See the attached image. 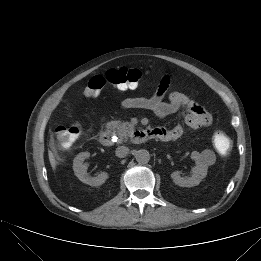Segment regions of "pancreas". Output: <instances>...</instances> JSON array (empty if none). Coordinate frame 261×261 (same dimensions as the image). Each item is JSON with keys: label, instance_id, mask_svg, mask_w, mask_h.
I'll return each instance as SVG.
<instances>
[{"label": "pancreas", "instance_id": "cf45deb5", "mask_svg": "<svg viewBox=\"0 0 261 261\" xmlns=\"http://www.w3.org/2000/svg\"><path fill=\"white\" fill-rule=\"evenodd\" d=\"M108 126L113 129L120 138V142H126L134 131V125L129 122L111 121Z\"/></svg>", "mask_w": 261, "mask_h": 261}]
</instances>
